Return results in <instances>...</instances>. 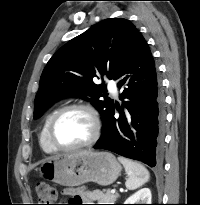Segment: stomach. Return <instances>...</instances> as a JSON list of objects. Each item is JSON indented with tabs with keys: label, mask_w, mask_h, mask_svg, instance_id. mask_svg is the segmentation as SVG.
<instances>
[{
	"label": "stomach",
	"mask_w": 200,
	"mask_h": 205,
	"mask_svg": "<svg viewBox=\"0 0 200 205\" xmlns=\"http://www.w3.org/2000/svg\"><path fill=\"white\" fill-rule=\"evenodd\" d=\"M121 169V165L110 152L78 150L43 162L40 172L47 180L66 187H75L90 181L107 186L118 178Z\"/></svg>",
	"instance_id": "1"
}]
</instances>
